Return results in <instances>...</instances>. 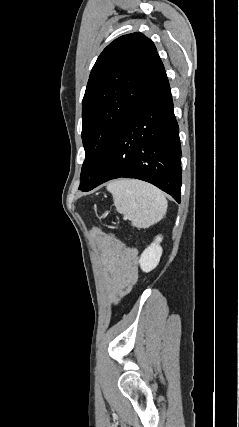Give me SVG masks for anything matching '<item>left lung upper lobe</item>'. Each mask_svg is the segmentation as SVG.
<instances>
[{"instance_id": "obj_1", "label": "left lung upper lobe", "mask_w": 239, "mask_h": 427, "mask_svg": "<svg viewBox=\"0 0 239 427\" xmlns=\"http://www.w3.org/2000/svg\"><path fill=\"white\" fill-rule=\"evenodd\" d=\"M166 79L155 45L141 33L123 35L103 50L82 101L80 190L93 181L125 122Z\"/></svg>"}]
</instances>
